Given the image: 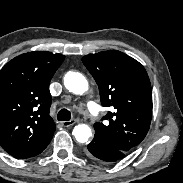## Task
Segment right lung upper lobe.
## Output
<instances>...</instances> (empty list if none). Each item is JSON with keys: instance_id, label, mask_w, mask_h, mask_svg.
I'll return each mask as SVG.
<instances>
[{"instance_id": "1", "label": "right lung upper lobe", "mask_w": 183, "mask_h": 183, "mask_svg": "<svg viewBox=\"0 0 183 183\" xmlns=\"http://www.w3.org/2000/svg\"><path fill=\"white\" fill-rule=\"evenodd\" d=\"M65 56L24 53L0 71V145L18 159L40 154L56 130L49 83Z\"/></svg>"}]
</instances>
